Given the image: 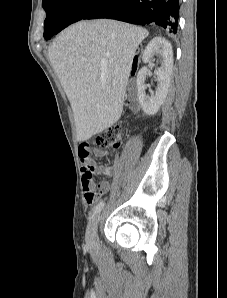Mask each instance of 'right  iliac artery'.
<instances>
[{"label": "right iliac artery", "mask_w": 227, "mask_h": 298, "mask_svg": "<svg viewBox=\"0 0 227 298\" xmlns=\"http://www.w3.org/2000/svg\"><path fill=\"white\" fill-rule=\"evenodd\" d=\"M104 205V201L99 202L94 208V215L98 214L103 209Z\"/></svg>", "instance_id": "right-iliac-artery-1"}]
</instances>
